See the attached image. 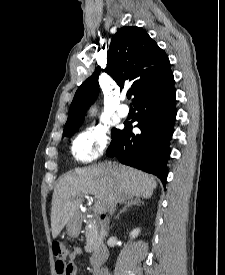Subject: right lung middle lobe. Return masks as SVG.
<instances>
[{"label": "right lung middle lobe", "instance_id": "right-lung-middle-lobe-1", "mask_svg": "<svg viewBox=\"0 0 225 275\" xmlns=\"http://www.w3.org/2000/svg\"><path fill=\"white\" fill-rule=\"evenodd\" d=\"M81 123H82V121H80L78 123H75L73 125H70V126H66L64 128L63 135L64 136H66V135L71 136L79 128V126L81 125ZM119 131L120 130L115 129V128L112 129V131H111V137H112V139L119 133Z\"/></svg>", "mask_w": 225, "mask_h": 275}]
</instances>
